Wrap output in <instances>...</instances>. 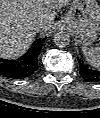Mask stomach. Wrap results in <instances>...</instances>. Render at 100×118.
I'll return each instance as SVG.
<instances>
[{
	"mask_svg": "<svg viewBox=\"0 0 100 118\" xmlns=\"http://www.w3.org/2000/svg\"><path fill=\"white\" fill-rule=\"evenodd\" d=\"M64 25L73 31L77 41L91 45L100 34V5L97 0H72Z\"/></svg>",
	"mask_w": 100,
	"mask_h": 118,
	"instance_id": "1",
	"label": "stomach"
}]
</instances>
